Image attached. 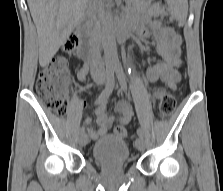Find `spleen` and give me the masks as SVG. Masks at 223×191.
Masks as SVG:
<instances>
[{"instance_id":"1","label":"spleen","mask_w":223,"mask_h":191,"mask_svg":"<svg viewBox=\"0 0 223 191\" xmlns=\"http://www.w3.org/2000/svg\"><path fill=\"white\" fill-rule=\"evenodd\" d=\"M170 5L172 16L184 22L187 18L188 1L187 0H167Z\"/></svg>"}]
</instances>
